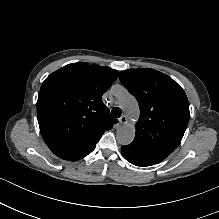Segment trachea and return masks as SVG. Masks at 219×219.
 Wrapping results in <instances>:
<instances>
[{"mask_svg":"<svg viewBox=\"0 0 219 219\" xmlns=\"http://www.w3.org/2000/svg\"><path fill=\"white\" fill-rule=\"evenodd\" d=\"M121 109L119 107H114L112 110H111V114L113 117L115 118H119L121 116Z\"/></svg>","mask_w":219,"mask_h":219,"instance_id":"1","label":"trachea"}]
</instances>
